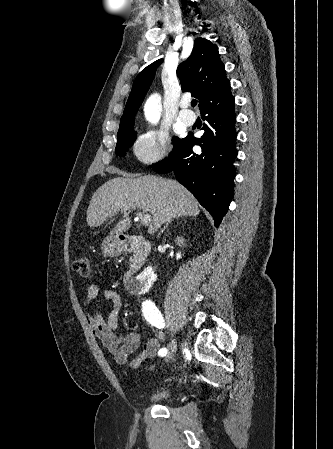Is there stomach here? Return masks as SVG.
<instances>
[{"label": "stomach", "instance_id": "1", "mask_svg": "<svg viewBox=\"0 0 333 449\" xmlns=\"http://www.w3.org/2000/svg\"><path fill=\"white\" fill-rule=\"evenodd\" d=\"M101 249L104 255L108 257L119 256L122 253L121 243L114 237H107L102 242Z\"/></svg>", "mask_w": 333, "mask_h": 449}]
</instances>
